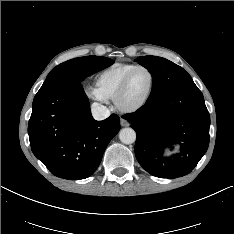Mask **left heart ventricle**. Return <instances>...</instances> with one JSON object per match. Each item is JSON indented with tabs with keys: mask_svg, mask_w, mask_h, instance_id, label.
I'll return each mask as SVG.
<instances>
[{
	"mask_svg": "<svg viewBox=\"0 0 234 234\" xmlns=\"http://www.w3.org/2000/svg\"><path fill=\"white\" fill-rule=\"evenodd\" d=\"M151 83V77L148 71H136L129 83L128 90L123 98L125 106H132L139 103L147 94Z\"/></svg>",
	"mask_w": 234,
	"mask_h": 234,
	"instance_id": "b2bd125f",
	"label": "left heart ventricle"
}]
</instances>
